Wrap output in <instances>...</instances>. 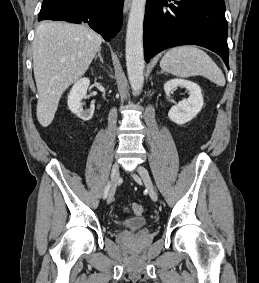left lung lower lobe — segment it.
I'll return each instance as SVG.
<instances>
[{"label": "left lung lower lobe", "mask_w": 259, "mask_h": 283, "mask_svg": "<svg viewBox=\"0 0 259 283\" xmlns=\"http://www.w3.org/2000/svg\"><path fill=\"white\" fill-rule=\"evenodd\" d=\"M171 1V0H169ZM224 0H147L144 20L146 62L158 52L199 45L218 54L229 68Z\"/></svg>", "instance_id": "1"}]
</instances>
